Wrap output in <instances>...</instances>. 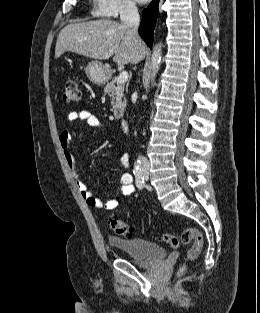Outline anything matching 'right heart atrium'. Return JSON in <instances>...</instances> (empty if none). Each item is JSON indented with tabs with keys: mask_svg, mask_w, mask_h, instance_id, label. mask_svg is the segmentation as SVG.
<instances>
[{
	"mask_svg": "<svg viewBox=\"0 0 260 313\" xmlns=\"http://www.w3.org/2000/svg\"><path fill=\"white\" fill-rule=\"evenodd\" d=\"M93 13L99 17L117 18L137 12L133 0H92Z\"/></svg>",
	"mask_w": 260,
	"mask_h": 313,
	"instance_id": "d8ad5b80",
	"label": "right heart atrium"
}]
</instances>
